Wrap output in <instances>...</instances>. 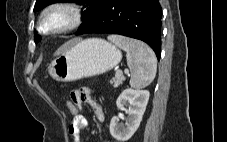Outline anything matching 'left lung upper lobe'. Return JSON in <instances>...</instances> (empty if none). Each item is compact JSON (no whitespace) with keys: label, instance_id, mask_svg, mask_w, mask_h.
<instances>
[{"label":"left lung upper lobe","instance_id":"5c2ea615","mask_svg":"<svg viewBox=\"0 0 227 142\" xmlns=\"http://www.w3.org/2000/svg\"><path fill=\"white\" fill-rule=\"evenodd\" d=\"M56 2H77L84 5V10L81 13L84 20L82 26L86 25L94 17L99 8L106 2V0H37L35 3L34 11H37L49 4ZM41 38L34 35V41L37 43Z\"/></svg>","mask_w":227,"mask_h":142}]
</instances>
